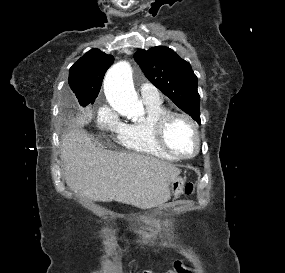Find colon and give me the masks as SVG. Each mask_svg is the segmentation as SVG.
Segmentation results:
<instances>
[{
    "mask_svg": "<svg viewBox=\"0 0 285 273\" xmlns=\"http://www.w3.org/2000/svg\"><path fill=\"white\" fill-rule=\"evenodd\" d=\"M194 186L192 183H187L184 188V193L186 195H191L193 193ZM150 273V272H145ZM166 273H191L190 269L180 260L176 261L173 269Z\"/></svg>",
    "mask_w": 285,
    "mask_h": 273,
    "instance_id": "5ec220e1",
    "label": "colon"
}]
</instances>
